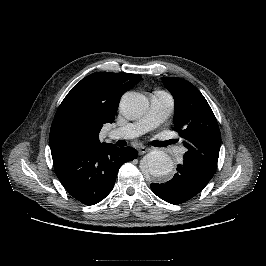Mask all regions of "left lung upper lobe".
Instances as JSON below:
<instances>
[{
  "label": "left lung upper lobe",
  "instance_id": "1",
  "mask_svg": "<svg viewBox=\"0 0 266 266\" xmlns=\"http://www.w3.org/2000/svg\"><path fill=\"white\" fill-rule=\"evenodd\" d=\"M163 84L175 99L174 130L188 151L184 161L214 174L221 146L216 117L200 91L190 82L163 77Z\"/></svg>",
  "mask_w": 266,
  "mask_h": 266
}]
</instances>
